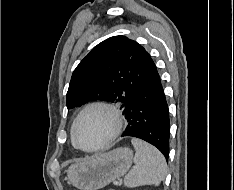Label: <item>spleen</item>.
I'll use <instances>...</instances> for the list:
<instances>
[{"label": "spleen", "instance_id": "1", "mask_svg": "<svg viewBox=\"0 0 234 190\" xmlns=\"http://www.w3.org/2000/svg\"><path fill=\"white\" fill-rule=\"evenodd\" d=\"M136 153L134 168L125 176L124 185L129 188L144 185L158 186L164 180L167 164L162 153L149 143L133 138Z\"/></svg>", "mask_w": 234, "mask_h": 190}]
</instances>
